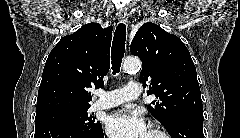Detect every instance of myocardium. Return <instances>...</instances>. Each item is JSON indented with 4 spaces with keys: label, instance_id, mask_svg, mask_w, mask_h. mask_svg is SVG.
<instances>
[{
    "label": "myocardium",
    "instance_id": "obj_1",
    "mask_svg": "<svg viewBox=\"0 0 240 138\" xmlns=\"http://www.w3.org/2000/svg\"><path fill=\"white\" fill-rule=\"evenodd\" d=\"M150 131L156 133L159 136V138H169V135L167 134V132L157 126H153L150 129Z\"/></svg>",
    "mask_w": 240,
    "mask_h": 138
}]
</instances>
